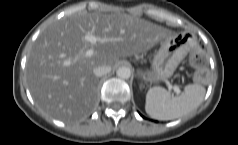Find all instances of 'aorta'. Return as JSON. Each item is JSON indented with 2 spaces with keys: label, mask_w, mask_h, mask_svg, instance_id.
Segmentation results:
<instances>
[{
  "label": "aorta",
  "mask_w": 238,
  "mask_h": 145,
  "mask_svg": "<svg viewBox=\"0 0 238 145\" xmlns=\"http://www.w3.org/2000/svg\"><path fill=\"white\" fill-rule=\"evenodd\" d=\"M116 74L121 79H128L131 76V70L129 67L122 66L117 69Z\"/></svg>",
  "instance_id": "762f6f07"
}]
</instances>
